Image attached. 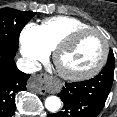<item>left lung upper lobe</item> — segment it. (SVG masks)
<instances>
[{
    "label": "left lung upper lobe",
    "mask_w": 117,
    "mask_h": 117,
    "mask_svg": "<svg viewBox=\"0 0 117 117\" xmlns=\"http://www.w3.org/2000/svg\"><path fill=\"white\" fill-rule=\"evenodd\" d=\"M114 65H115V58H114L112 50H110L108 61H107V64L105 65V68L107 67L108 70L111 71L112 77L114 73Z\"/></svg>",
    "instance_id": "1"
}]
</instances>
